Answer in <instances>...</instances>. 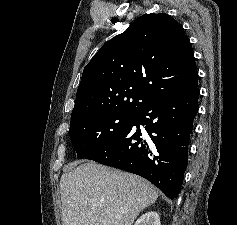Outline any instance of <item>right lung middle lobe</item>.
Masks as SVG:
<instances>
[{
  "label": "right lung middle lobe",
  "mask_w": 237,
  "mask_h": 225,
  "mask_svg": "<svg viewBox=\"0 0 237 225\" xmlns=\"http://www.w3.org/2000/svg\"><path fill=\"white\" fill-rule=\"evenodd\" d=\"M135 114L108 112L72 123L69 133L77 158L83 159L115 139L132 123Z\"/></svg>",
  "instance_id": "dd1d6c3e"
}]
</instances>
